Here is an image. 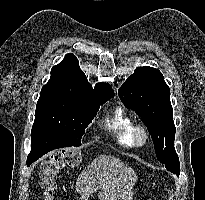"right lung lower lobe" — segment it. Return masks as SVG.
I'll use <instances>...</instances> for the list:
<instances>
[{
	"label": "right lung lower lobe",
	"mask_w": 205,
	"mask_h": 200,
	"mask_svg": "<svg viewBox=\"0 0 205 200\" xmlns=\"http://www.w3.org/2000/svg\"><path fill=\"white\" fill-rule=\"evenodd\" d=\"M72 146L62 137L46 128H34L31 132V152L27 158V166L51 150Z\"/></svg>",
	"instance_id": "1"
}]
</instances>
